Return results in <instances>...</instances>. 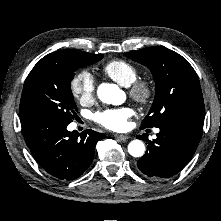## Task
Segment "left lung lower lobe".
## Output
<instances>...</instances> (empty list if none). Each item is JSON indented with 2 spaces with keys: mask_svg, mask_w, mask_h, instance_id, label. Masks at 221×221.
<instances>
[{
  "mask_svg": "<svg viewBox=\"0 0 221 221\" xmlns=\"http://www.w3.org/2000/svg\"><path fill=\"white\" fill-rule=\"evenodd\" d=\"M204 116H184L159 127L154 141H148L145 155L137 162L142 173L153 179L169 178L192 158L203 133ZM144 139V135L138 136Z\"/></svg>",
  "mask_w": 221,
  "mask_h": 221,
  "instance_id": "obj_1",
  "label": "left lung lower lobe"
}]
</instances>
